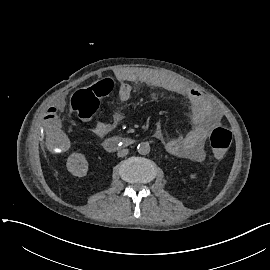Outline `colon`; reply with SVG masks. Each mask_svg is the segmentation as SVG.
Returning a JSON list of instances; mask_svg holds the SVG:
<instances>
[{"mask_svg":"<svg viewBox=\"0 0 270 270\" xmlns=\"http://www.w3.org/2000/svg\"><path fill=\"white\" fill-rule=\"evenodd\" d=\"M113 79L104 77L102 83L78 89L70 99V109L81 123L90 121L97 113L100 99L111 92ZM210 145L216 156H223L232 142L230 129L218 126L210 133Z\"/></svg>","mask_w":270,"mask_h":270,"instance_id":"5ec220e1","label":"colon"}]
</instances>
